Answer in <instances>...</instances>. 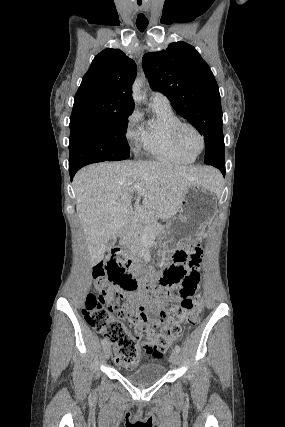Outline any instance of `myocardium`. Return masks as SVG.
Returning <instances> with one entry per match:
<instances>
[{"label": "myocardium", "mask_w": 285, "mask_h": 427, "mask_svg": "<svg viewBox=\"0 0 285 427\" xmlns=\"http://www.w3.org/2000/svg\"><path fill=\"white\" fill-rule=\"evenodd\" d=\"M191 129L192 131H194L196 133V135L198 136L199 140H200V149L199 151L192 153L190 151H188L184 144L182 143L181 140V133L184 129ZM171 134L173 136L174 142L176 144V146L185 154L191 155L193 157L198 156L199 154H201L205 148V140L203 137V134L201 133V131L193 124L188 123V122H183V121H179L177 123H175L172 128H171Z\"/></svg>", "instance_id": "obj_1"}]
</instances>
